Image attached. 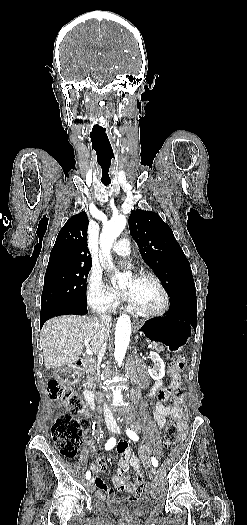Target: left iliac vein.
Instances as JSON below:
<instances>
[{"label": "left iliac vein", "instance_id": "4c4485c4", "mask_svg": "<svg viewBox=\"0 0 247 525\" xmlns=\"http://www.w3.org/2000/svg\"><path fill=\"white\" fill-rule=\"evenodd\" d=\"M114 431H115V433L118 434V435L122 434V432H121V430H120L119 427H115ZM151 473H152L153 475H156L157 470H156L155 468H152V469H151Z\"/></svg>", "mask_w": 247, "mask_h": 525}]
</instances>
